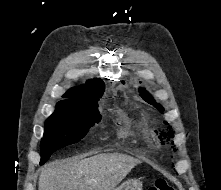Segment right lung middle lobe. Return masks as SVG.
<instances>
[{
	"label": "right lung middle lobe",
	"mask_w": 221,
	"mask_h": 190,
	"mask_svg": "<svg viewBox=\"0 0 221 190\" xmlns=\"http://www.w3.org/2000/svg\"><path fill=\"white\" fill-rule=\"evenodd\" d=\"M97 102L98 100L71 109L55 110L45 121L40 164L45 163L56 150L80 141L90 127L100 120Z\"/></svg>",
	"instance_id": "1"
}]
</instances>
